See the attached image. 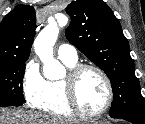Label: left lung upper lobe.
Returning a JSON list of instances; mask_svg holds the SVG:
<instances>
[{"label": "left lung upper lobe", "instance_id": "left-lung-upper-lobe-1", "mask_svg": "<svg viewBox=\"0 0 145 124\" xmlns=\"http://www.w3.org/2000/svg\"><path fill=\"white\" fill-rule=\"evenodd\" d=\"M66 12L71 16L65 32L68 41L104 70L111 81L110 116L145 121L139 80L119 20L102 0H76Z\"/></svg>", "mask_w": 145, "mask_h": 124}]
</instances>
